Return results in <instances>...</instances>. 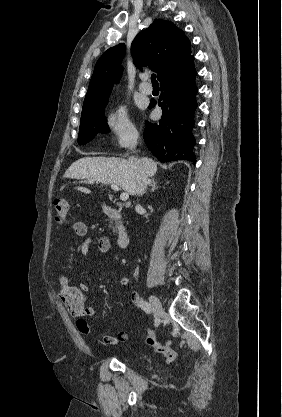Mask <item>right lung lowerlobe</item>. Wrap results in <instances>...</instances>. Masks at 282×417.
Masks as SVG:
<instances>
[{
    "label": "right lung lower lobe",
    "mask_w": 282,
    "mask_h": 417,
    "mask_svg": "<svg viewBox=\"0 0 282 417\" xmlns=\"http://www.w3.org/2000/svg\"><path fill=\"white\" fill-rule=\"evenodd\" d=\"M193 61V60H192ZM192 61L177 67L160 80L161 95L158 105L162 107L159 123H146L144 140L148 149L162 162L186 159L195 164L191 133L193 114L197 108L195 76ZM155 103L151 102L149 108Z\"/></svg>",
    "instance_id": "1"
}]
</instances>
